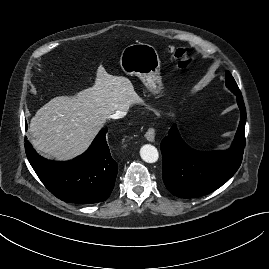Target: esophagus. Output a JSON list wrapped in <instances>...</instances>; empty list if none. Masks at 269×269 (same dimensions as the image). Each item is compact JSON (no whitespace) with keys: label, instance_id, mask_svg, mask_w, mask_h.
Wrapping results in <instances>:
<instances>
[{"label":"esophagus","instance_id":"obj_1","mask_svg":"<svg viewBox=\"0 0 269 269\" xmlns=\"http://www.w3.org/2000/svg\"><path fill=\"white\" fill-rule=\"evenodd\" d=\"M145 137L149 142H153L155 139V129L152 127L149 128L145 134Z\"/></svg>","mask_w":269,"mask_h":269}]
</instances>
